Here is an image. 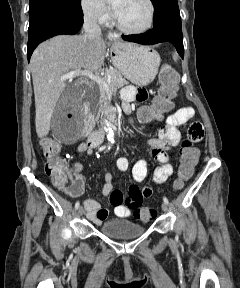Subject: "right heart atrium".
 Listing matches in <instances>:
<instances>
[{"mask_svg": "<svg viewBox=\"0 0 240 288\" xmlns=\"http://www.w3.org/2000/svg\"><path fill=\"white\" fill-rule=\"evenodd\" d=\"M81 7L85 17L92 21L106 23L111 17L103 0H81Z\"/></svg>", "mask_w": 240, "mask_h": 288, "instance_id": "d8ad5b80", "label": "right heart atrium"}]
</instances>
